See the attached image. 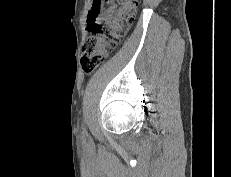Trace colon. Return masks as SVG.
<instances>
[{"label":"colon","mask_w":231,"mask_h":177,"mask_svg":"<svg viewBox=\"0 0 231 177\" xmlns=\"http://www.w3.org/2000/svg\"><path fill=\"white\" fill-rule=\"evenodd\" d=\"M116 1L120 8L104 24L97 21L101 0H97L91 11L88 19L90 35L83 45L81 57L82 68L87 73L94 71L104 62L118 39L133 22L138 0Z\"/></svg>","instance_id":"colon-1"}]
</instances>
